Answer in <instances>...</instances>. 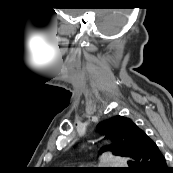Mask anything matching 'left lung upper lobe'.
Masks as SVG:
<instances>
[{"mask_svg": "<svg viewBox=\"0 0 173 173\" xmlns=\"http://www.w3.org/2000/svg\"><path fill=\"white\" fill-rule=\"evenodd\" d=\"M97 131L114 142L102 147L101 152L110 151L114 155L129 159L140 143L142 130L130 118L118 115L100 122Z\"/></svg>", "mask_w": 173, "mask_h": 173, "instance_id": "5c2ea615", "label": "left lung upper lobe"}]
</instances>
